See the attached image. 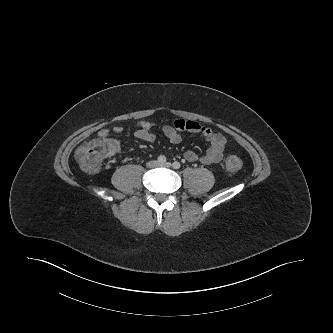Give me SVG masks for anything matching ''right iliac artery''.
Segmentation results:
<instances>
[{
    "label": "right iliac artery",
    "instance_id": "1",
    "mask_svg": "<svg viewBox=\"0 0 333 333\" xmlns=\"http://www.w3.org/2000/svg\"><path fill=\"white\" fill-rule=\"evenodd\" d=\"M166 157L164 155H160L158 158H157V162L160 163V164H165L166 163Z\"/></svg>",
    "mask_w": 333,
    "mask_h": 333
}]
</instances>
